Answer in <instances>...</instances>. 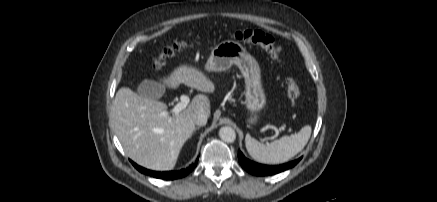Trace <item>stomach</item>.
<instances>
[{
	"label": "stomach",
	"mask_w": 437,
	"mask_h": 202,
	"mask_svg": "<svg viewBox=\"0 0 437 202\" xmlns=\"http://www.w3.org/2000/svg\"><path fill=\"white\" fill-rule=\"evenodd\" d=\"M235 64L245 80L244 105L248 111V124H257L266 106V94L262 86L261 71L256 59L239 43L226 40L216 45L207 60V71L222 72Z\"/></svg>",
	"instance_id": "obj_1"
}]
</instances>
